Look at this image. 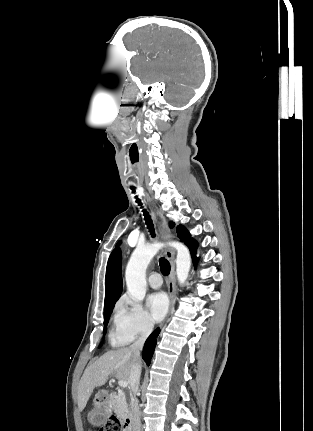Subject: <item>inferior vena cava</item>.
<instances>
[{"label":"inferior vena cava","mask_w":313,"mask_h":431,"mask_svg":"<svg viewBox=\"0 0 313 431\" xmlns=\"http://www.w3.org/2000/svg\"><path fill=\"white\" fill-rule=\"evenodd\" d=\"M152 329H153V323L149 322L146 325V328L142 332L139 339L130 346V350L134 356V362L132 364V368L129 375V384L131 388L130 409H131V414L133 419V431H141L140 411L138 406V400L136 398V394L139 388L140 374H141V364L139 360H140V351L142 350L145 340L150 334V332L152 331Z\"/></svg>","instance_id":"obj_1"}]
</instances>
